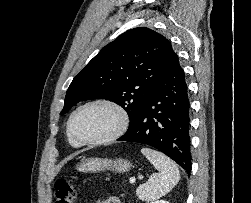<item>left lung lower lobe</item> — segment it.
I'll list each match as a JSON object with an SVG mask.
<instances>
[{"mask_svg": "<svg viewBox=\"0 0 251 203\" xmlns=\"http://www.w3.org/2000/svg\"><path fill=\"white\" fill-rule=\"evenodd\" d=\"M190 101L184 70L174 52L135 123L118 140L150 145L191 171Z\"/></svg>", "mask_w": 251, "mask_h": 203, "instance_id": "obj_1", "label": "left lung lower lobe"}]
</instances>
